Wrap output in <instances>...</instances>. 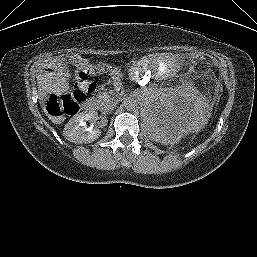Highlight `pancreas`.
<instances>
[{"label":"pancreas","instance_id":"1","mask_svg":"<svg viewBox=\"0 0 257 257\" xmlns=\"http://www.w3.org/2000/svg\"><path fill=\"white\" fill-rule=\"evenodd\" d=\"M97 99H98V102H99L100 104H103L104 98H103L102 95H99V96L97 97Z\"/></svg>","mask_w":257,"mask_h":257}]
</instances>
